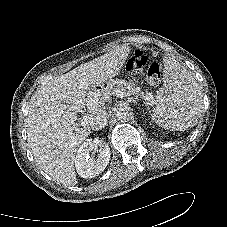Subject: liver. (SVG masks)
Instances as JSON below:
<instances>
[{
	"label": "liver",
	"instance_id": "liver-1",
	"mask_svg": "<svg viewBox=\"0 0 227 227\" xmlns=\"http://www.w3.org/2000/svg\"><path fill=\"white\" fill-rule=\"evenodd\" d=\"M129 51L126 45L117 47L52 79L31 97L26 120L29 146L39 167L58 183H78L75 155L91 127H78L77 114L86 107L94 116L100 111L88 92L118 75Z\"/></svg>",
	"mask_w": 227,
	"mask_h": 227
}]
</instances>
